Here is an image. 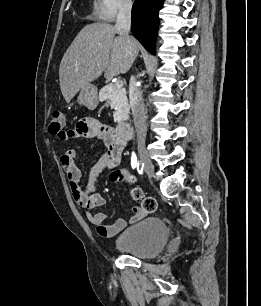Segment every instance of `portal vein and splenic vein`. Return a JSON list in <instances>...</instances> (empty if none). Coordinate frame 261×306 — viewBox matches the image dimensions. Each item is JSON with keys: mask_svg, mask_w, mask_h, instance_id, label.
<instances>
[{"mask_svg": "<svg viewBox=\"0 0 261 306\" xmlns=\"http://www.w3.org/2000/svg\"><path fill=\"white\" fill-rule=\"evenodd\" d=\"M115 85H116L117 88H121L123 86V82L120 81V80L116 81Z\"/></svg>", "mask_w": 261, "mask_h": 306, "instance_id": "18ae733b", "label": "portal vein and splenic vein"}]
</instances>
